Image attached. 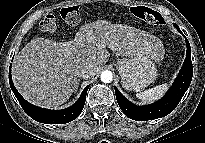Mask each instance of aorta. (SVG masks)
Segmentation results:
<instances>
[{
  "label": "aorta",
  "mask_w": 205,
  "mask_h": 143,
  "mask_svg": "<svg viewBox=\"0 0 205 143\" xmlns=\"http://www.w3.org/2000/svg\"><path fill=\"white\" fill-rule=\"evenodd\" d=\"M113 80V74L111 71H103L101 73V81L104 83H110Z\"/></svg>",
  "instance_id": "obj_1"
}]
</instances>
